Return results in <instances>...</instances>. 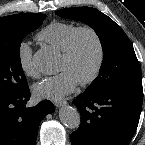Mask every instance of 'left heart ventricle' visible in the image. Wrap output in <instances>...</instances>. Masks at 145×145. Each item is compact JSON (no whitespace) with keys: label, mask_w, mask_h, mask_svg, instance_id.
<instances>
[{"label":"left heart ventricle","mask_w":145,"mask_h":145,"mask_svg":"<svg viewBox=\"0 0 145 145\" xmlns=\"http://www.w3.org/2000/svg\"><path fill=\"white\" fill-rule=\"evenodd\" d=\"M97 60V48L92 36L88 33L80 35L74 56L66 60L60 57L58 71H69L77 81L88 77Z\"/></svg>","instance_id":"1"}]
</instances>
